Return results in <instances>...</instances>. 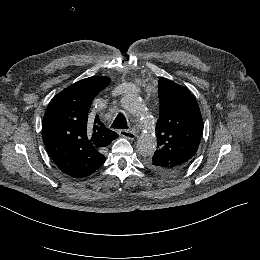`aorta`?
<instances>
[{
	"instance_id": "762f6f07",
	"label": "aorta",
	"mask_w": 260,
	"mask_h": 260,
	"mask_svg": "<svg viewBox=\"0 0 260 260\" xmlns=\"http://www.w3.org/2000/svg\"><path fill=\"white\" fill-rule=\"evenodd\" d=\"M121 105L126 111L141 119L143 133L137 141L139 154L144 157L152 156L157 147L155 119L149 116L146 105L137 94H125L121 98Z\"/></svg>"
}]
</instances>
